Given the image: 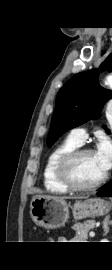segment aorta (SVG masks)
I'll use <instances>...</instances> for the list:
<instances>
[{
	"instance_id": "1",
	"label": "aorta",
	"mask_w": 112,
	"mask_h": 270,
	"mask_svg": "<svg viewBox=\"0 0 112 270\" xmlns=\"http://www.w3.org/2000/svg\"><path fill=\"white\" fill-rule=\"evenodd\" d=\"M106 84L112 88V75H109L107 78H106Z\"/></svg>"
}]
</instances>
